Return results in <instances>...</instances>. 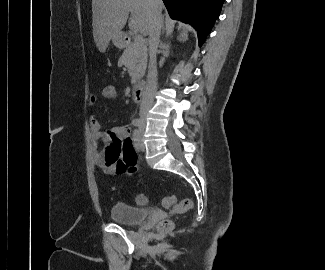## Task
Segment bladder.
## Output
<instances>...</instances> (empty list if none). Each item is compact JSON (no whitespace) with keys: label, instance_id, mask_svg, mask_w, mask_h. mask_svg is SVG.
Here are the masks:
<instances>
[{"label":"bladder","instance_id":"31cf9c89","mask_svg":"<svg viewBox=\"0 0 325 270\" xmlns=\"http://www.w3.org/2000/svg\"><path fill=\"white\" fill-rule=\"evenodd\" d=\"M150 216V210L133 206L123 201L115 202L110 210V219L118 224L139 226Z\"/></svg>","mask_w":325,"mask_h":270}]
</instances>
